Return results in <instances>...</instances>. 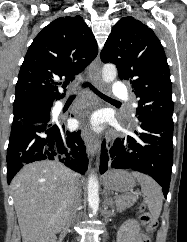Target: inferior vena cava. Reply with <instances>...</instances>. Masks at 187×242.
Listing matches in <instances>:
<instances>
[{"mask_svg": "<svg viewBox=\"0 0 187 242\" xmlns=\"http://www.w3.org/2000/svg\"><path fill=\"white\" fill-rule=\"evenodd\" d=\"M75 176V174H74ZM70 201H71V216L70 221H74L76 218V211L79 205L81 204V187L76 182L73 181L71 185V191H70Z\"/></svg>", "mask_w": 187, "mask_h": 242, "instance_id": "inferior-vena-cava-1", "label": "inferior vena cava"}]
</instances>
